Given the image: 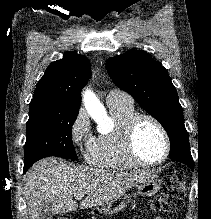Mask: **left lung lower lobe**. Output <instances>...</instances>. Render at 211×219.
I'll return each instance as SVG.
<instances>
[{
  "label": "left lung lower lobe",
  "mask_w": 211,
  "mask_h": 219,
  "mask_svg": "<svg viewBox=\"0 0 211 219\" xmlns=\"http://www.w3.org/2000/svg\"><path fill=\"white\" fill-rule=\"evenodd\" d=\"M170 158L172 161H176L188 165L191 169L194 168V162L190 151L180 152L174 156H171Z\"/></svg>",
  "instance_id": "obj_1"
}]
</instances>
